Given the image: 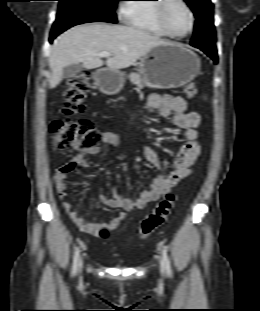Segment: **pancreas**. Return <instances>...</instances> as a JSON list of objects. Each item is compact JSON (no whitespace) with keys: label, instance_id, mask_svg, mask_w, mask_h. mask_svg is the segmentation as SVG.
Instances as JSON below:
<instances>
[{"label":"pancreas","instance_id":"cf45deb5","mask_svg":"<svg viewBox=\"0 0 260 311\" xmlns=\"http://www.w3.org/2000/svg\"><path fill=\"white\" fill-rule=\"evenodd\" d=\"M129 79L131 83L137 85V87H139L140 89L143 88L144 78L141 75L137 73H131L129 75Z\"/></svg>","mask_w":260,"mask_h":311}]
</instances>
